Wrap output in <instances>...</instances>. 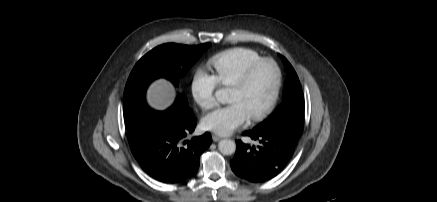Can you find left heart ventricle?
Segmentation results:
<instances>
[{
	"instance_id": "obj_1",
	"label": "left heart ventricle",
	"mask_w": 437,
	"mask_h": 202,
	"mask_svg": "<svg viewBox=\"0 0 437 202\" xmlns=\"http://www.w3.org/2000/svg\"><path fill=\"white\" fill-rule=\"evenodd\" d=\"M276 82L274 67L265 63L260 65L249 83L242 87H232L230 90L229 102H239L244 107L247 115L258 113L270 100Z\"/></svg>"
}]
</instances>
